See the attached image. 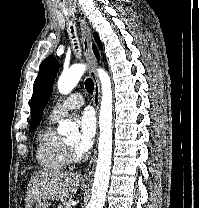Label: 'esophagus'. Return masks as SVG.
I'll return each instance as SVG.
<instances>
[{
	"label": "esophagus",
	"mask_w": 199,
	"mask_h": 208,
	"mask_svg": "<svg viewBox=\"0 0 199 208\" xmlns=\"http://www.w3.org/2000/svg\"><path fill=\"white\" fill-rule=\"evenodd\" d=\"M78 23L81 31V41H82L84 56L88 64L90 65L89 74L94 82V92H93L92 101L96 109V112H98L100 105L101 91H100V84L96 75V59L92 51L91 30L88 24L86 23L85 19L82 18L81 16H78ZM96 161H97V150H95L93 156L89 161V164L83 175L84 178L92 177L95 170Z\"/></svg>",
	"instance_id": "1"
}]
</instances>
